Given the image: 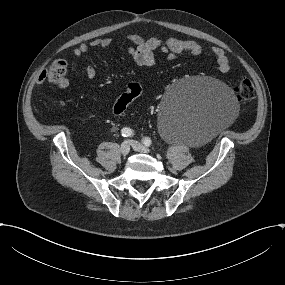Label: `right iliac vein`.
Returning <instances> with one entry per match:
<instances>
[{"label": "right iliac vein", "mask_w": 285, "mask_h": 285, "mask_svg": "<svg viewBox=\"0 0 285 285\" xmlns=\"http://www.w3.org/2000/svg\"><path fill=\"white\" fill-rule=\"evenodd\" d=\"M120 151H121V153H122L123 156L128 155V153L130 152L129 142L124 141V142L121 144Z\"/></svg>", "instance_id": "right-iliac-vein-1"}]
</instances>
